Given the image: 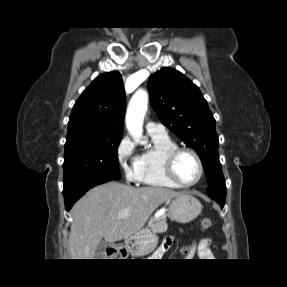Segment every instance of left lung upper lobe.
<instances>
[{
	"mask_svg": "<svg viewBox=\"0 0 287 287\" xmlns=\"http://www.w3.org/2000/svg\"><path fill=\"white\" fill-rule=\"evenodd\" d=\"M148 90L161 122L198 153L207 177L208 195L226 200L215 119L199 88L181 72L162 68L150 76Z\"/></svg>",
	"mask_w": 287,
	"mask_h": 287,
	"instance_id": "1",
	"label": "left lung upper lobe"
}]
</instances>
